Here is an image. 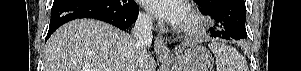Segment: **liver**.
<instances>
[{"label": "liver", "instance_id": "1", "mask_svg": "<svg viewBox=\"0 0 301 71\" xmlns=\"http://www.w3.org/2000/svg\"><path fill=\"white\" fill-rule=\"evenodd\" d=\"M133 48L132 36L114 26L92 19L74 20L47 41L44 71H126ZM137 59L142 71H153L148 53Z\"/></svg>", "mask_w": 301, "mask_h": 71}]
</instances>
